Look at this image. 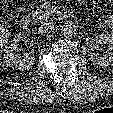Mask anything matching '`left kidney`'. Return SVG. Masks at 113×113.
<instances>
[{
	"label": "left kidney",
	"mask_w": 113,
	"mask_h": 113,
	"mask_svg": "<svg viewBox=\"0 0 113 113\" xmlns=\"http://www.w3.org/2000/svg\"><path fill=\"white\" fill-rule=\"evenodd\" d=\"M96 42H104L108 45V49L106 54L100 56V54L92 53L90 55V59L95 65H99L101 67L113 66V35L106 33H99L95 37Z\"/></svg>",
	"instance_id": "obj_1"
}]
</instances>
